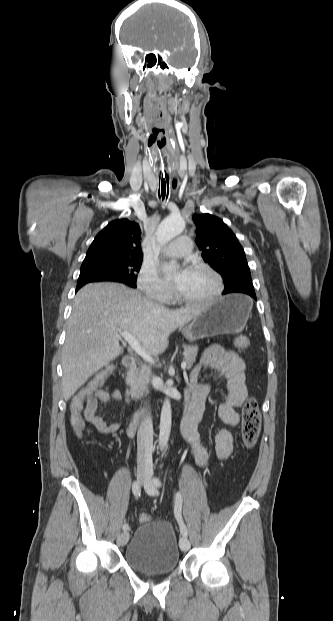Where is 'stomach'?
I'll use <instances>...</instances> for the list:
<instances>
[{
	"instance_id": "stomach-1",
	"label": "stomach",
	"mask_w": 333,
	"mask_h": 621,
	"mask_svg": "<svg viewBox=\"0 0 333 621\" xmlns=\"http://www.w3.org/2000/svg\"><path fill=\"white\" fill-rule=\"evenodd\" d=\"M252 305L253 302L248 296L240 294L228 295L207 304L190 323L187 339L196 341L242 330Z\"/></svg>"
}]
</instances>
